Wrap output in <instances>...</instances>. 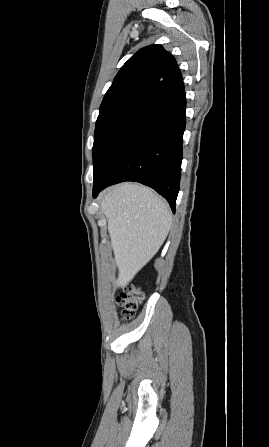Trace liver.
Here are the masks:
<instances>
[{"instance_id":"1","label":"liver","mask_w":269,"mask_h":447,"mask_svg":"<svg viewBox=\"0 0 269 447\" xmlns=\"http://www.w3.org/2000/svg\"><path fill=\"white\" fill-rule=\"evenodd\" d=\"M101 208L119 269L116 285L125 287L165 241L172 225L164 200L140 184H119L102 194Z\"/></svg>"}]
</instances>
